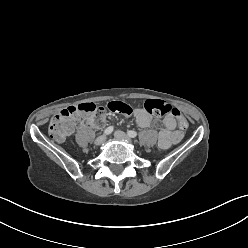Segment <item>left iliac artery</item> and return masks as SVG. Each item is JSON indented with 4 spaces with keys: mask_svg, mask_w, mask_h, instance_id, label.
<instances>
[{
    "mask_svg": "<svg viewBox=\"0 0 248 248\" xmlns=\"http://www.w3.org/2000/svg\"><path fill=\"white\" fill-rule=\"evenodd\" d=\"M127 134H128L129 137H132V138L137 136V132L132 131V130L128 131Z\"/></svg>",
    "mask_w": 248,
    "mask_h": 248,
    "instance_id": "left-iliac-artery-1",
    "label": "left iliac artery"
}]
</instances>
